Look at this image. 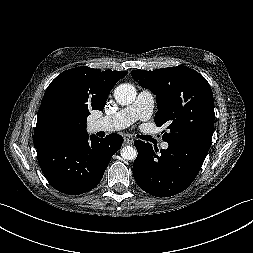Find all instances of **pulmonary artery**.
<instances>
[{
	"label": "pulmonary artery",
	"instance_id": "1",
	"mask_svg": "<svg viewBox=\"0 0 253 253\" xmlns=\"http://www.w3.org/2000/svg\"><path fill=\"white\" fill-rule=\"evenodd\" d=\"M154 108L153 94L148 90H142L135 101L129 106L120 109L116 113L101 117L94 121L95 131H116L132 125L137 120H147L152 115ZM167 142L160 144L161 149L168 148Z\"/></svg>",
	"mask_w": 253,
	"mask_h": 253
}]
</instances>
